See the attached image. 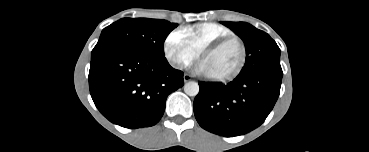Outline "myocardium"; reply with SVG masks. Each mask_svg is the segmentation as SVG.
Wrapping results in <instances>:
<instances>
[{"label":"myocardium","mask_w":369,"mask_h":152,"mask_svg":"<svg viewBox=\"0 0 369 152\" xmlns=\"http://www.w3.org/2000/svg\"><path fill=\"white\" fill-rule=\"evenodd\" d=\"M230 42H235L239 46L240 51H241L240 61L237 67L228 74H225L222 76H208V78L211 79L212 81L227 82V81L233 80L242 72V70L245 67V64L247 62L246 46L240 38L236 36H232V35L219 38L205 45L199 52V58H202L206 53L215 51Z\"/></svg>","instance_id":"f54148a6"}]
</instances>
